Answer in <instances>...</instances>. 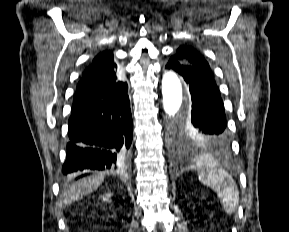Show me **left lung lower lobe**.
<instances>
[{
	"label": "left lung lower lobe",
	"mask_w": 289,
	"mask_h": 232,
	"mask_svg": "<svg viewBox=\"0 0 289 232\" xmlns=\"http://www.w3.org/2000/svg\"><path fill=\"white\" fill-rule=\"evenodd\" d=\"M166 68L181 75L189 87L192 99L188 117L190 125L211 142L213 151L227 152L231 141L226 128L224 105L212 73L185 63L176 56L170 58Z\"/></svg>",
	"instance_id": "obj_1"
}]
</instances>
